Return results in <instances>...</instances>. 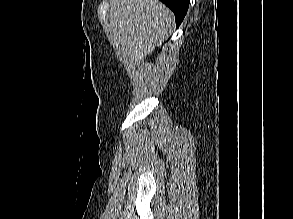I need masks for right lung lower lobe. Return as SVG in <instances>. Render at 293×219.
<instances>
[{"label": "right lung lower lobe", "mask_w": 293, "mask_h": 219, "mask_svg": "<svg viewBox=\"0 0 293 219\" xmlns=\"http://www.w3.org/2000/svg\"><path fill=\"white\" fill-rule=\"evenodd\" d=\"M175 14L176 26L178 27L184 19L190 0H160Z\"/></svg>", "instance_id": "98d812e1"}]
</instances>
